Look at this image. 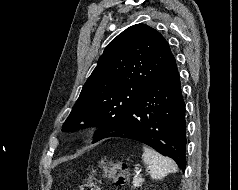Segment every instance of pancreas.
Masks as SVG:
<instances>
[{
  "label": "pancreas",
  "instance_id": "obj_1",
  "mask_svg": "<svg viewBox=\"0 0 238 190\" xmlns=\"http://www.w3.org/2000/svg\"><path fill=\"white\" fill-rule=\"evenodd\" d=\"M142 182H143V180H142L141 177H136V178H134V179H133V187H134V188L140 187V186L142 185Z\"/></svg>",
  "mask_w": 238,
  "mask_h": 190
}]
</instances>
